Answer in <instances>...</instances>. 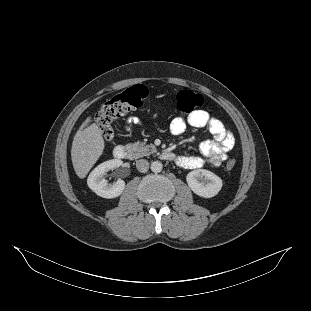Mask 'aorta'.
<instances>
[{
    "label": "aorta",
    "instance_id": "762f6f07",
    "mask_svg": "<svg viewBox=\"0 0 311 311\" xmlns=\"http://www.w3.org/2000/svg\"><path fill=\"white\" fill-rule=\"evenodd\" d=\"M163 169V164L160 161H153L151 163V171L154 173H159Z\"/></svg>",
    "mask_w": 311,
    "mask_h": 311
}]
</instances>
